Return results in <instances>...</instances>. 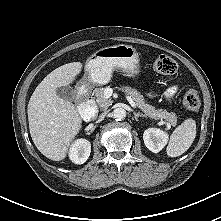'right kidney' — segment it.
Instances as JSON below:
<instances>
[{
	"label": "right kidney",
	"mask_w": 221,
	"mask_h": 221,
	"mask_svg": "<svg viewBox=\"0 0 221 221\" xmlns=\"http://www.w3.org/2000/svg\"><path fill=\"white\" fill-rule=\"evenodd\" d=\"M91 153V144L86 139H78L69 150V158L75 164H83Z\"/></svg>",
	"instance_id": "1"
}]
</instances>
